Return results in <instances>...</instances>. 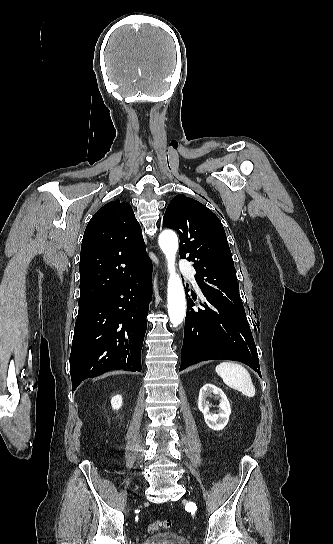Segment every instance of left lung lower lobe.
<instances>
[{
  "label": "left lung lower lobe",
  "instance_id": "left-lung-lower-lobe-1",
  "mask_svg": "<svg viewBox=\"0 0 333 544\" xmlns=\"http://www.w3.org/2000/svg\"><path fill=\"white\" fill-rule=\"evenodd\" d=\"M204 297L203 308H192L194 302L188 298L190 306L187 307L179 371L200 361L227 359L247 364L261 377L257 349L246 316Z\"/></svg>",
  "mask_w": 333,
  "mask_h": 544
}]
</instances>
